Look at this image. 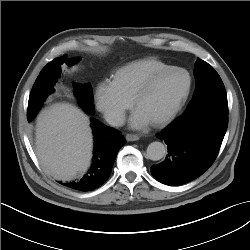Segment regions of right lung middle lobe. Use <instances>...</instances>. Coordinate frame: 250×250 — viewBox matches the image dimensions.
<instances>
[{
  "label": "right lung middle lobe",
  "mask_w": 250,
  "mask_h": 250,
  "mask_svg": "<svg viewBox=\"0 0 250 250\" xmlns=\"http://www.w3.org/2000/svg\"><path fill=\"white\" fill-rule=\"evenodd\" d=\"M80 58L54 59L49 62L40 72L29 96L27 119L32 120L41 108L43 101L54 92V86L60 77V67L62 64L74 65ZM74 95L77 97L83 109L89 113H94L93 93L90 84H75Z\"/></svg>",
  "instance_id": "obj_1"
}]
</instances>
